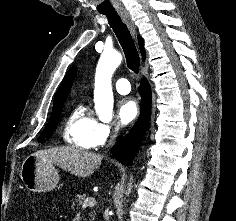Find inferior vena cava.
I'll list each match as a JSON object with an SVG mask.
<instances>
[{"mask_svg": "<svg viewBox=\"0 0 236 221\" xmlns=\"http://www.w3.org/2000/svg\"><path fill=\"white\" fill-rule=\"evenodd\" d=\"M116 137H117V132H115V133L110 137V139H109V141H108V146H110V145L113 144V142H114V140L116 139Z\"/></svg>", "mask_w": 236, "mask_h": 221, "instance_id": "602c4592", "label": "inferior vena cava"}]
</instances>
